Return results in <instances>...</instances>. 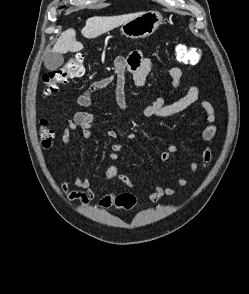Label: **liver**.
I'll use <instances>...</instances> for the list:
<instances>
[{"instance_id": "obj_1", "label": "liver", "mask_w": 249, "mask_h": 294, "mask_svg": "<svg viewBox=\"0 0 249 294\" xmlns=\"http://www.w3.org/2000/svg\"><path fill=\"white\" fill-rule=\"evenodd\" d=\"M144 12H137L119 16L111 17H91L86 21V26L82 29L81 33L84 37L92 39L96 38L110 30H113L134 18L140 16ZM83 49V44L76 40V32L74 29H67L61 33L56 41L53 52L68 53L78 52Z\"/></svg>"}]
</instances>
